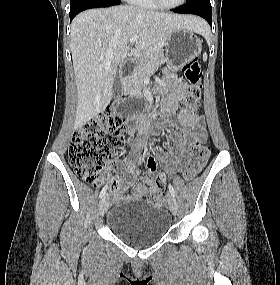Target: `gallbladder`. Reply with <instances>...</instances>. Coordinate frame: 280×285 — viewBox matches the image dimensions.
<instances>
[{
	"label": "gallbladder",
	"instance_id": "bac80fb5",
	"mask_svg": "<svg viewBox=\"0 0 280 285\" xmlns=\"http://www.w3.org/2000/svg\"><path fill=\"white\" fill-rule=\"evenodd\" d=\"M113 94L116 97L122 94V82L119 74L116 75L113 82Z\"/></svg>",
	"mask_w": 280,
	"mask_h": 285
}]
</instances>
